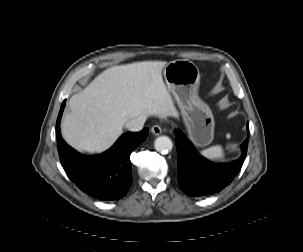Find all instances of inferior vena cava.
<instances>
[{
	"mask_svg": "<svg viewBox=\"0 0 303 252\" xmlns=\"http://www.w3.org/2000/svg\"><path fill=\"white\" fill-rule=\"evenodd\" d=\"M145 118L139 117L128 121L125 127L131 132H137L143 129Z\"/></svg>",
	"mask_w": 303,
	"mask_h": 252,
	"instance_id": "inferior-vena-cava-1",
	"label": "inferior vena cava"
}]
</instances>
